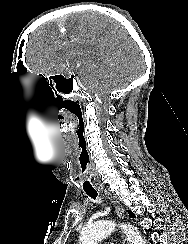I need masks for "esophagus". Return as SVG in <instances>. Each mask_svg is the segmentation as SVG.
Returning a JSON list of instances; mask_svg holds the SVG:
<instances>
[{
    "label": "esophagus",
    "mask_w": 188,
    "mask_h": 244,
    "mask_svg": "<svg viewBox=\"0 0 188 244\" xmlns=\"http://www.w3.org/2000/svg\"><path fill=\"white\" fill-rule=\"evenodd\" d=\"M104 195L112 200V203L115 205V209H116V213H117L118 217L123 218L124 209L122 208V206L117 201L112 199L111 194L109 192L105 191ZM122 239H123V244H124L125 243L124 236H122Z\"/></svg>",
    "instance_id": "34e87169"
}]
</instances>
